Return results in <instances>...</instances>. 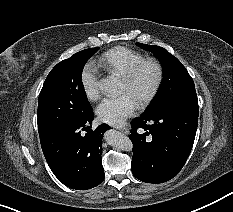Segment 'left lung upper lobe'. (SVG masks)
Returning <instances> with one entry per match:
<instances>
[{
    "label": "left lung upper lobe",
    "mask_w": 233,
    "mask_h": 212,
    "mask_svg": "<svg viewBox=\"0 0 233 212\" xmlns=\"http://www.w3.org/2000/svg\"><path fill=\"white\" fill-rule=\"evenodd\" d=\"M137 45L154 53L161 61L164 70L162 85L146 111L170 103L198 105L194 82L175 56L159 46L142 43Z\"/></svg>",
    "instance_id": "left-lung-upper-lobe-1"
}]
</instances>
